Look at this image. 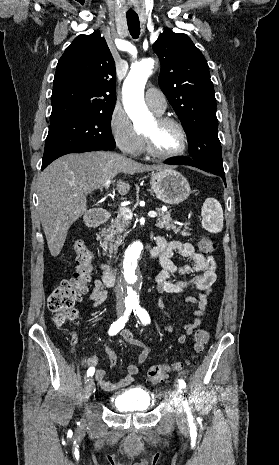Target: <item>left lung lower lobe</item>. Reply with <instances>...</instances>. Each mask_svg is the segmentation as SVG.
Masks as SVG:
<instances>
[{"mask_svg":"<svg viewBox=\"0 0 279 465\" xmlns=\"http://www.w3.org/2000/svg\"><path fill=\"white\" fill-rule=\"evenodd\" d=\"M164 163L166 164H175V165H190V166H193V167H196V168H199L201 170H204L206 172H210V173H213L215 175H218L220 176L225 185H226V179H225V174H220V173H217V172H214L212 171L211 169H209L208 167H206L205 165H203L202 163L196 161V160H192V159H189V158H170L168 160H166Z\"/></svg>","mask_w":279,"mask_h":465,"instance_id":"0a47b994","label":"left lung lower lobe"}]
</instances>
